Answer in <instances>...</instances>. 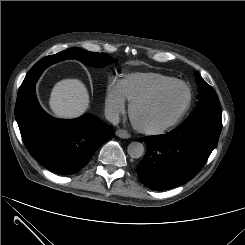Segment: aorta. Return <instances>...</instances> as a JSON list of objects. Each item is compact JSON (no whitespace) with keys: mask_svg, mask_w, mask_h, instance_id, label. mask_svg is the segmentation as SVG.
Instances as JSON below:
<instances>
[{"mask_svg":"<svg viewBox=\"0 0 245 245\" xmlns=\"http://www.w3.org/2000/svg\"><path fill=\"white\" fill-rule=\"evenodd\" d=\"M127 152L132 158H140L144 153V146L140 142H132L128 145Z\"/></svg>","mask_w":245,"mask_h":245,"instance_id":"aorta-1","label":"aorta"}]
</instances>
